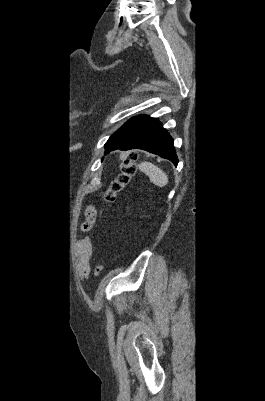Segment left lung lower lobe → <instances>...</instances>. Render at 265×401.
Returning a JSON list of instances; mask_svg holds the SVG:
<instances>
[{
    "mask_svg": "<svg viewBox=\"0 0 265 401\" xmlns=\"http://www.w3.org/2000/svg\"><path fill=\"white\" fill-rule=\"evenodd\" d=\"M105 154L113 150L143 149L172 161L178 159L173 139L156 119L146 115L134 117L119 128L106 142Z\"/></svg>",
    "mask_w": 265,
    "mask_h": 401,
    "instance_id": "1",
    "label": "left lung lower lobe"
}]
</instances>
